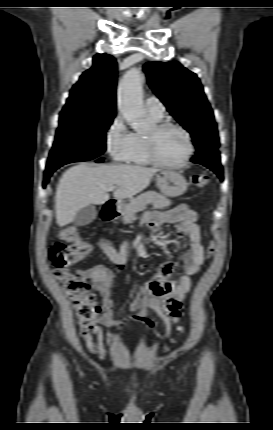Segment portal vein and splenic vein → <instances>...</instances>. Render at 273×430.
Returning <instances> with one entry per match:
<instances>
[{"instance_id":"1","label":"portal vein and splenic vein","mask_w":273,"mask_h":430,"mask_svg":"<svg viewBox=\"0 0 273 430\" xmlns=\"http://www.w3.org/2000/svg\"><path fill=\"white\" fill-rule=\"evenodd\" d=\"M116 189V187L115 186H111L108 190L109 191H112V190H115Z\"/></svg>"}]
</instances>
